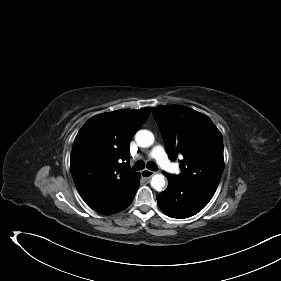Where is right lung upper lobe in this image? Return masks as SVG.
Returning <instances> with one entry per match:
<instances>
[{
	"label": "right lung upper lobe",
	"instance_id": "obj_1",
	"mask_svg": "<svg viewBox=\"0 0 281 281\" xmlns=\"http://www.w3.org/2000/svg\"><path fill=\"white\" fill-rule=\"evenodd\" d=\"M150 110L98 114L78 132L71 170L78 192L93 210L104 215L117 213L135 194L140 174L130 170V141Z\"/></svg>",
	"mask_w": 281,
	"mask_h": 281
}]
</instances>
